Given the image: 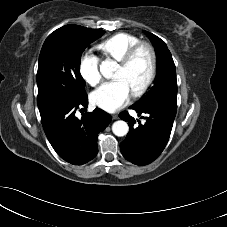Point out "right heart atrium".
I'll list each match as a JSON object with an SVG mask.
<instances>
[{"label":"right heart atrium","instance_id":"right-heart-atrium-1","mask_svg":"<svg viewBox=\"0 0 227 227\" xmlns=\"http://www.w3.org/2000/svg\"><path fill=\"white\" fill-rule=\"evenodd\" d=\"M79 72L84 81L90 86H96L101 82L99 59L90 52H86L81 56Z\"/></svg>","mask_w":227,"mask_h":227}]
</instances>
